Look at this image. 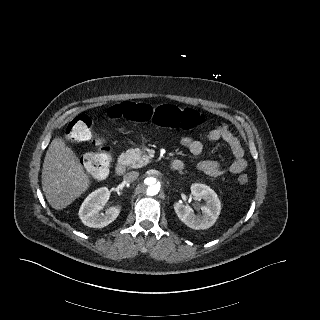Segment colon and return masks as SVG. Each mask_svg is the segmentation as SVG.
I'll list each match as a JSON object with an SVG mask.
<instances>
[{
  "label": "colon",
  "mask_w": 320,
  "mask_h": 320,
  "mask_svg": "<svg viewBox=\"0 0 320 320\" xmlns=\"http://www.w3.org/2000/svg\"><path fill=\"white\" fill-rule=\"evenodd\" d=\"M106 117L113 120L152 122L160 127L182 130L194 129L205 122L203 115L189 108H180L171 104L153 107L132 101L111 106L106 112ZM66 135L72 141L91 142L98 147L97 151L87 153L83 157V164L92 175L99 178L106 177L110 170L111 156L103 140L93 133L91 118L87 115L73 118L67 125ZM237 181L244 185L249 181V177L241 174Z\"/></svg>",
  "instance_id": "5ec220e1"
}]
</instances>
